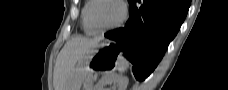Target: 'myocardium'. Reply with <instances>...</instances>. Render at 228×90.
<instances>
[{
  "label": "myocardium",
  "mask_w": 228,
  "mask_h": 90,
  "mask_svg": "<svg viewBox=\"0 0 228 90\" xmlns=\"http://www.w3.org/2000/svg\"><path fill=\"white\" fill-rule=\"evenodd\" d=\"M99 1H101V0H93L92 5H91L90 10H89V16L88 17H89V23H90L91 27L98 33L110 31V30H113V29L120 27L125 22V20L127 19V7H126L125 3L122 0H111L120 6L121 15H120L119 19L114 24L101 28L95 24V21L93 18L94 8Z\"/></svg>",
  "instance_id": "obj_1"
}]
</instances>
